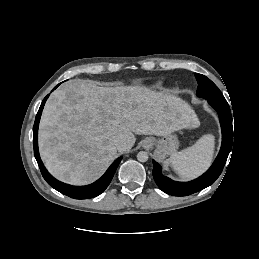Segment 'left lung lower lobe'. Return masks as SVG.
I'll return each mask as SVG.
<instances>
[{"mask_svg":"<svg viewBox=\"0 0 259 259\" xmlns=\"http://www.w3.org/2000/svg\"><path fill=\"white\" fill-rule=\"evenodd\" d=\"M218 112L222 128V146L212 166L199 178L190 182H176L161 174V166L153 160V177L159 188L173 196H187L215 182L221 174L232 148L233 129L230 107L225 99H206Z\"/></svg>","mask_w":259,"mask_h":259,"instance_id":"0a47b994","label":"left lung lower lobe"}]
</instances>
